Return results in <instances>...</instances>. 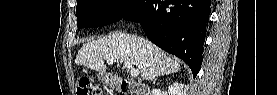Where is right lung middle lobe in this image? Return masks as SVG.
I'll return each instance as SVG.
<instances>
[{
	"mask_svg": "<svg viewBox=\"0 0 277 95\" xmlns=\"http://www.w3.org/2000/svg\"><path fill=\"white\" fill-rule=\"evenodd\" d=\"M139 0H79L76 7L78 29L100 27L124 18Z\"/></svg>",
	"mask_w": 277,
	"mask_h": 95,
	"instance_id": "right-lung-middle-lobe-1",
	"label": "right lung middle lobe"
}]
</instances>
